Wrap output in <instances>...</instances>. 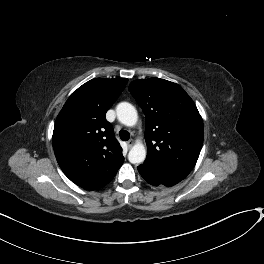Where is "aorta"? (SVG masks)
Wrapping results in <instances>:
<instances>
[{
    "instance_id": "1",
    "label": "aorta",
    "mask_w": 264,
    "mask_h": 264,
    "mask_svg": "<svg viewBox=\"0 0 264 264\" xmlns=\"http://www.w3.org/2000/svg\"><path fill=\"white\" fill-rule=\"evenodd\" d=\"M118 120L126 126H134L138 115L135 107L128 102H121L116 107ZM146 158V149L142 143L135 144L128 153V160L132 164H140Z\"/></svg>"
}]
</instances>
